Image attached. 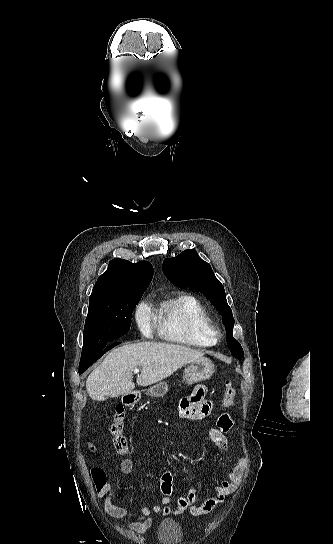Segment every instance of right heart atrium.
Listing matches in <instances>:
<instances>
[{"label": "right heart atrium", "instance_id": "d8ad5b80", "mask_svg": "<svg viewBox=\"0 0 333 544\" xmlns=\"http://www.w3.org/2000/svg\"><path fill=\"white\" fill-rule=\"evenodd\" d=\"M136 321L141 332L149 336L154 328L153 315L146 304H141L136 311Z\"/></svg>", "mask_w": 333, "mask_h": 544}]
</instances>
